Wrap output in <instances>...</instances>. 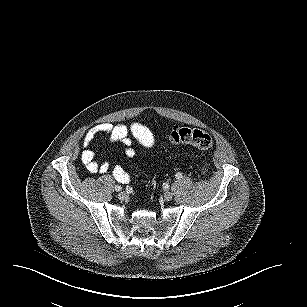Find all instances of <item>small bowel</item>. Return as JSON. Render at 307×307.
<instances>
[{"label": "small bowel", "instance_id": "1", "mask_svg": "<svg viewBox=\"0 0 307 307\" xmlns=\"http://www.w3.org/2000/svg\"><path fill=\"white\" fill-rule=\"evenodd\" d=\"M100 134H105L109 137L111 143H117L124 147L125 153L128 157H135L136 152L132 148V140L129 134H132L134 138L145 148H152L155 144V138L152 131L145 125L134 122L129 127L124 124L113 125L110 123L97 124L85 133L82 145L83 150L81 152V162L85 166L86 170L91 174L107 173L110 170L116 181L119 183H128L131 180V175L120 166L111 167L108 162H98L95 159V154L90 149V145L93 140Z\"/></svg>", "mask_w": 307, "mask_h": 307}]
</instances>
